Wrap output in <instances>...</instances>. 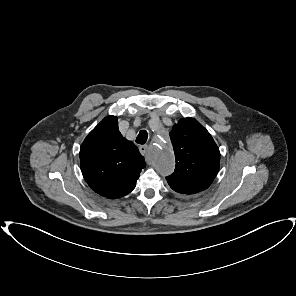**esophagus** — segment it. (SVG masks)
Returning <instances> with one entry per match:
<instances>
[{"instance_id":"obj_1","label":"esophagus","mask_w":296,"mask_h":296,"mask_svg":"<svg viewBox=\"0 0 296 296\" xmlns=\"http://www.w3.org/2000/svg\"><path fill=\"white\" fill-rule=\"evenodd\" d=\"M148 149H149L148 145H141L139 147V151L142 155H146L148 152Z\"/></svg>"}]
</instances>
